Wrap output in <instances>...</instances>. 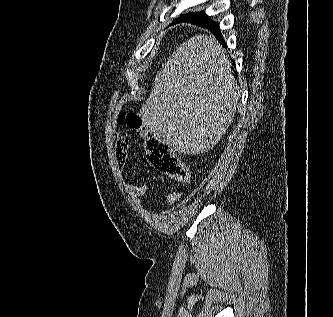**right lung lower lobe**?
Returning <instances> with one entry per match:
<instances>
[{
    "mask_svg": "<svg viewBox=\"0 0 333 317\" xmlns=\"http://www.w3.org/2000/svg\"><path fill=\"white\" fill-rule=\"evenodd\" d=\"M178 22H190V23H194L198 26L206 27L208 30H210L214 34V36H216V38L218 39L219 42L224 44V40L220 33L219 23L211 21L210 17H208L206 14L194 16L191 18H186V19L178 21Z\"/></svg>",
    "mask_w": 333,
    "mask_h": 317,
    "instance_id": "1",
    "label": "right lung lower lobe"
}]
</instances>
